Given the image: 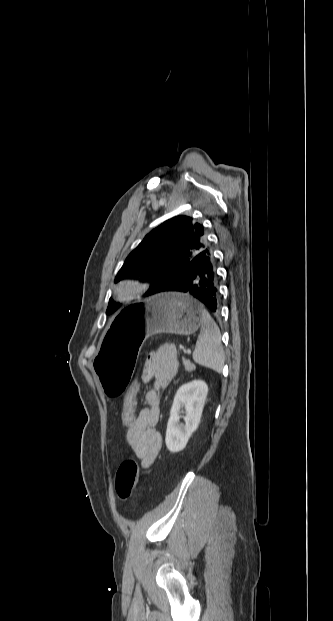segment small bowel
<instances>
[{
    "mask_svg": "<svg viewBox=\"0 0 333 621\" xmlns=\"http://www.w3.org/2000/svg\"><path fill=\"white\" fill-rule=\"evenodd\" d=\"M178 371V360L173 346L164 345L152 352L147 360L143 378L152 382L146 393L145 403L134 424L127 426L126 440L144 469L149 468L157 458L162 437L156 429L160 416V391L166 388Z\"/></svg>",
    "mask_w": 333,
    "mask_h": 621,
    "instance_id": "obj_1",
    "label": "small bowel"
}]
</instances>
